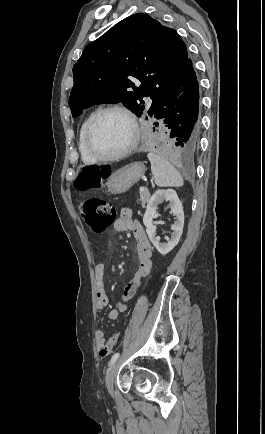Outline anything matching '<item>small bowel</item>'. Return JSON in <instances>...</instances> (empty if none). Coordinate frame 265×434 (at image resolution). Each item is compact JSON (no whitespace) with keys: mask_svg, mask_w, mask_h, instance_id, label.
Masks as SVG:
<instances>
[{"mask_svg":"<svg viewBox=\"0 0 265 434\" xmlns=\"http://www.w3.org/2000/svg\"><path fill=\"white\" fill-rule=\"evenodd\" d=\"M114 228L119 232H131L136 240V250L138 255L139 266L130 281L122 286V299L109 312L111 320H117L120 313L127 310V302H129L137 293L141 280L148 276L152 268V245L150 240L142 227V225L134 218L132 212L124 208L119 217L114 223ZM105 263L100 262L96 265L94 275L96 279V308L103 310L110 304L109 297L106 292L105 286ZM101 340H107L103 330L95 332V342L97 348L100 349Z\"/></svg>","mask_w":265,"mask_h":434,"instance_id":"obj_1","label":"small bowel"}]
</instances>
